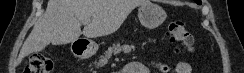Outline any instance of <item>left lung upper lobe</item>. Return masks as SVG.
Listing matches in <instances>:
<instances>
[{
  "mask_svg": "<svg viewBox=\"0 0 244 73\" xmlns=\"http://www.w3.org/2000/svg\"><path fill=\"white\" fill-rule=\"evenodd\" d=\"M198 4H201V0H195Z\"/></svg>",
  "mask_w": 244,
  "mask_h": 73,
  "instance_id": "5c2ea615",
  "label": "left lung upper lobe"
}]
</instances>
